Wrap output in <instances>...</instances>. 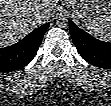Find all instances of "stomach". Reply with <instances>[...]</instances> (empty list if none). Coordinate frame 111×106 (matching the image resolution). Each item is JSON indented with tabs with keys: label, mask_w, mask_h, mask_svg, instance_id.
I'll return each mask as SVG.
<instances>
[{
	"label": "stomach",
	"mask_w": 111,
	"mask_h": 106,
	"mask_svg": "<svg viewBox=\"0 0 111 106\" xmlns=\"http://www.w3.org/2000/svg\"><path fill=\"white\" fill-rule=\"evenodd\" d=\"M66 5L84 23L104 19L111 12V1L108 0H70L66 1Z\"/></svg>",
	"instance_id": "stomach-1"
}]
</instances>
